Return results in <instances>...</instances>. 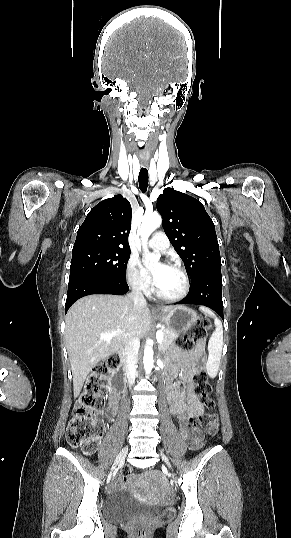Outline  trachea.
Masks as SVG:
<instances>
[{
	"instance_id": "3493384b",
	"label": "trachea",
	"mask_w": 291,
	"mask_h": 538,
	"mask_svg": "<svg viewBox=\"0 0 291 538\" xmlns=\"http://www.w3.org/2000/svg\"><path fill=\"white\" fill-rule=\"evenodd\" d=\"M138 181H139L140 190L143 193H145L147 191V188H148V170L146 168L142 167L140 169Z\"/></svg>"
}]
</instances>
